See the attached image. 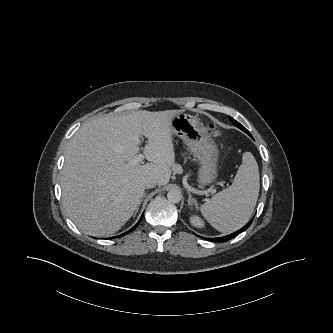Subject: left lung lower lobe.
Listing matches in <instances>:
<instances>
[{
  "label": "left lung lower lobe",
  "instance_id": "obj_1",
  "mask_svg": "<svg viewBox=\"0 0 333 333\" xmlns=\"http://www.w3.org/2000/svg\"><path fill=\"white\" fill-rule=\"evenodd\" d=\"M252 223V220L249 221L244 227H242L241 229H239L238 231L229 234L227 236L224 237H218V238H210L212 241H217V242H226L234 237H236L237 235H239L240 233H242L243 231H245Z\"/></svg>",
  "mask_w": 333,
  "mask_h": 333
}]
</instances>
